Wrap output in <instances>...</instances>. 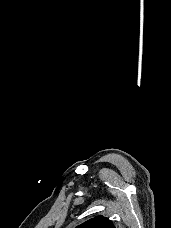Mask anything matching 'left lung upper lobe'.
<instances>
[{
	"label": "left lung upper lobe",
	"instance_id": "5c2ea615",
	"mask_svg": "<svg viewBox=\"0 0 171 228\" xmlns=\"http://www.w3.org/2000/svg\"><path fill=\"white\" fill-rule=\"evenodd\" d=\"M76 228H115L111 220L103 216L92 218Z\"/></svg>",
	"mask_w": 171,
	"mask_h": 228
}]
</instances>
